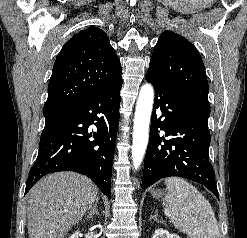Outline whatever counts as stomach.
Wrapping results in <instances>:
<instances>
[{"mask_svg": "<svg viewBox=\"0 0 247 238\" xmlns=\"http://www.w3.org/2000/svg\"><path fill=\"white\" fill-rule=\"evenodd\" d=\"M151 195L154 198H163L165 196V193L163 190H160V189H152Z\"/></svg>", "mask_w": 247, "mask_h": 238, "instance_id": "0dacf381", "label": "stomach"}]
</instances>
